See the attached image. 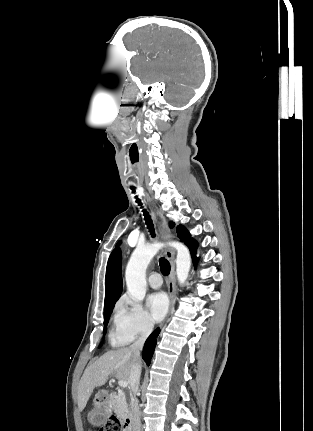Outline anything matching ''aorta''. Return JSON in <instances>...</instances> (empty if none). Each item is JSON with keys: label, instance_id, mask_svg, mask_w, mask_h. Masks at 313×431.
<instances>
[{"label": "aorta", "instance_id": "1", "mask_svg": "<svg viewBox=\"0 0 313 431\" xmlns=\"http://www.w3.org/2000/svg\"><path fill=\"white\" fill-rule=\"evenodd\" d=\"M169 245L177 250V278L180 284H184L191 267L190 252L180 242H170ZM162 247H164L163 243H153L144 247H137L131 255L126 267L125 279L129 294L137 301H142L145 298L147 290L146 269Z\"/></svg>", "mask_w": 313, "mask_h": 431}]
</instances>
